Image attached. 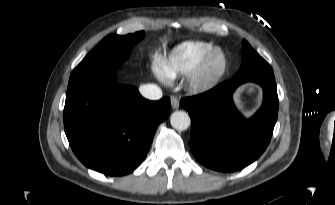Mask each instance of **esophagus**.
I'll list each match as a JSON object with an SVG mask.
<instances>
[{
  "mask_svg": "<svg viewBox=\"0 0 335 205\" xmlns=\"http://www.w3.org/2000/svg\"><path fill=\"white\" fill-rule=\"evenodd\" d=\"M171 106L173 109H178L180 106L179 100L177 99V97L172 96L171 97Z\"/></svg>",
  "mask_w": 335,
  "mask_h": 205,
  "instance_id": "34e87169",
  "label": "esophagus"
}]
</instances>
